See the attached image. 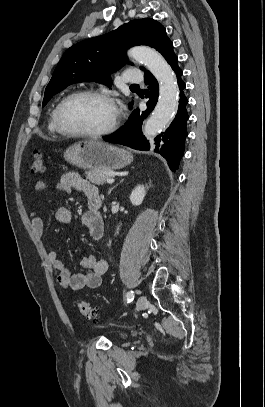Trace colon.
<instances>
[{
    "label": "colon",
    "mask_w": 265,
    "mask_h": 407,
    "mask_svg": "<svg viewBox=\"0 0 265 407\" xmlns=\"http://www.w3.org/2000/svg\"><path fill=\"white\" fill-rule=\"evenodd\" d=\"M31 172L33 174L41 173L44 171L43 157L39 152H35L31 159ZM76 306L83 317L96 321L98 319V311L92 307L90 303L84 300H78Z\"/></svg>",
    "instance_id": "obj_1"
}]
</instances>
